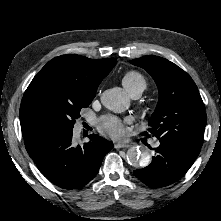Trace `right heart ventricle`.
<instances>
[{
	"label": "right heart ventricle",
	"instance_id": "e07e8e85",
	"mask_svg": "<svg viewBox=\"0 0 221 221\" xmlns=\"http://www.w3.org/2000/svg\"><path fill=\"white\" fill-rule=\"evenodd\" d=\"M122 83L125 89L130 93L133 90L146 88V80L142 74L137 71H128L122 78Z\"/></svg>",
	"mask_w": 221,
	"mask_h": 221
}]
</instances>
